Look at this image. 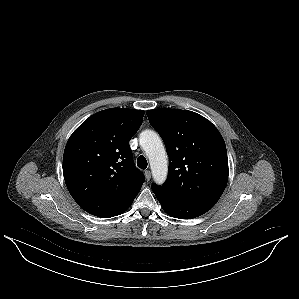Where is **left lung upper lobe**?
<instances>
[{
  "label": "left lung upper lobe",
  "instance_id": "obj_1",
  "mask_svg": "<svg viewBox=\"0 0 299 299\" xmlns=\"http://www.w3.org/2000/svg\"><path fill=\"white\" fill-rule=\"evenodd\" d=\"M169 156L168 178L155 194L177 201L217 203L228 181L224 139L203 116L188 110H148Z\"/></svg>",
  "mask_w": 299,
  "mask_h": 299
}]
</instances>
